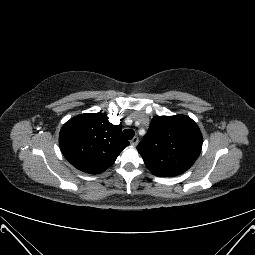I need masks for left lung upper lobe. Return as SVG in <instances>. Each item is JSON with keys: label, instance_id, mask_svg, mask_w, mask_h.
Returning <instances> with one entry per match:
<instances>
[{"label": "left lung upper lobe", "instance_id": "obj_1", "mask_svg": "<svg viewBox=\"0 0 255 255\" xmlns=\"http://www.w3.org/2000/svg\"><path fill=\"white\" fill-rule=\"evenodd\" d=\"M202 142L199 127L188 116H156L137 150L154 175L173 177L194 164Z\"/></svg>", "mask_w": 255, "mask_h": 255}]
</instances>
